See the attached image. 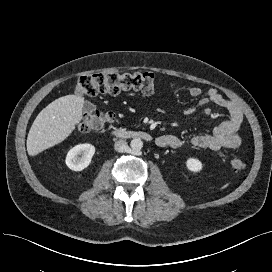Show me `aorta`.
Segmentation results:
<instances>
[{
	"mask_svg": "<svg viewBox=\"0 0 272 272\" xmlns=\"http://www.w3.org/2000/svg\"><path fill=\"white\" fill-rule=\"evenodd\" d=\"M130 146L134 152H139L143 148V142L140 138H134L131 140Z\"/></svg>",
	"mask_w": 272,
	"mask_h": 272,
	"instance_id": "obj_1",
	"label": "aorta"
}]
</instances>
